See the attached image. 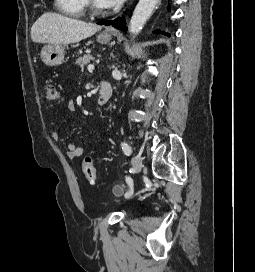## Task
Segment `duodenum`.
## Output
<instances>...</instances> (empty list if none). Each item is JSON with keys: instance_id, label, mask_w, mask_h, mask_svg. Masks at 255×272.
I'll return each instance as SVG.
<instances>
[{"instance_id": "obj_1", "label": "duodenum", "mask_w": 255, "mask_h": 272, "mask_svg": "<svg viewBox=\"0 0 255 272\" xmlns=\"http://www.w3.org/2000/svg\"><path fill=\"white\" fill-rule=\"evenodd\" d=\"M113 96V89L109 82L101 81L100 83V95L98 98V104H106Z\"/></svg>"}]
</instances>
